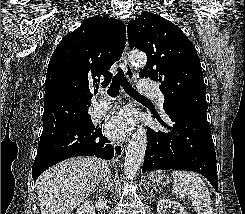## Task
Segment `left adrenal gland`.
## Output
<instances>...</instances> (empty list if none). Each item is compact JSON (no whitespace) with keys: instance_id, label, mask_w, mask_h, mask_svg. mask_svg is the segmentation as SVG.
I'll return each instance as SVG.
<instances>
[{"instance_id":"a2214340","label":"left adrenal gland","mask_w":245,"mask_h":214,"mask_svg":"<svg viewBox=\"0 0 245 214\" xmlns=\"http://www.w3.org/2000/svg\"><path fill=\"white\" fill-rule=\"evenodd\" d=\"M148 185H150V182H148ZM155 190H157L156 188H154Z\"/></svg>"}]
</instances>
